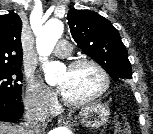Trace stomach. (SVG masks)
Wrapping results in <instances>:
<instances>
[{
    "label": "stomach",
    "mask_w": 153,
    "mask_h": 134,
    "mask_svg": "<svg viewBox=\"0 0 153 134\" xmlns=\"http://www.w3.org/2000/svg\"><path fill=\"white\" fill-rule=\"evenodd\" d=\"M110 115L109 107L101 103H93L83 108L79 113L80 123L90 129L103 126Z\"/></svg>",
    "instance_id": "0dacf381"
}]
</instances>
